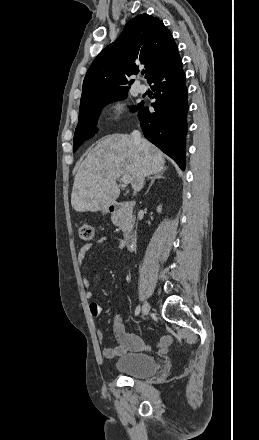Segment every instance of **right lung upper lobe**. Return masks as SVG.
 <instances>
[{
  "mask_svg": "<svg viewBox=\"0 0 259 440\" xmlns=\"http://www.w3.org/2000/svg\"><path fill=\"white\" fill-rule=\"evenodd\" d=\"M172 34L158 18L141 14L131 19L117 38L104 48L88 69L80 107L116 92L128 90L127 77L144 65L147 82L178 55Z\"/></svg>",
  "mask_w": 259,
  "mask_h": 440,
  "instance_id": "1",
  "label": "right lung upper lobe"
}]
</instances>
